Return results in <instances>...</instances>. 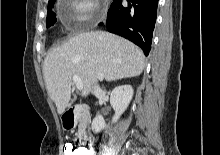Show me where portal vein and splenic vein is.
Returning <instances> with one entry per match:
<instances>
[{"label":"portal vein and splenic vein","instance_id":"18ae733b","mask_svg":"<svg viewBox=\"0 0 220 155\" xmlns=\"http://www.w3.org/2000/svg\"><path fill=\"white\" fill-rule=\"evenodd\" d=\"M73 82L75 83V85H76L78 90H82L83 89V82H82V80L80 79L79 76L74 75L73 76Z\"/></svg>","mask_w":220,"mask_h":155}]
</instances>
